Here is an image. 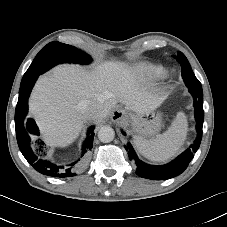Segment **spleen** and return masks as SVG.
Returning <instances> with one entry per match:
<instances>
[{
	"instance_id": "3e777b00",
	"label": "spleen",
	"mask_w": 227,
	"mask_h": 227,
	"mask_svg": "<svg viewBox=\"0 0 227 227\" xmlns=\"http://www.w3.org/2000/svg\"><path fill=\"white\" fill-rule=\"evenodd\" d=\"M188 122L183 112L177 113L171 126L156 138L146 140L140 136L134 137V144L145 158L164 162L173 157L186 140Z\"/></svg>"
}]
</instances>
